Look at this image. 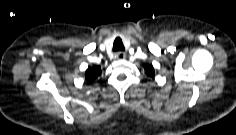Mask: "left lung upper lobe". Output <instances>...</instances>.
Wrapping results in <instances>:
<instances>
[{
    "mask_svg": "<svg viewBox=\"0 0 236 135\" xmlns=\"http://www.w3.org/2000/svg\"><path fill=\"white\" fill-rule=\"evenodd\" d=\"M145 72L148 76L153 77L154 76V68L152 65L144 64L143 65Z\"/></svg>",
    "mask_w": 236,
    "mask_h": 135,
    "instance_id": "left-lung-upper-lobe-1",
    "label": "left lung upper lobe"
}]
</instances>
